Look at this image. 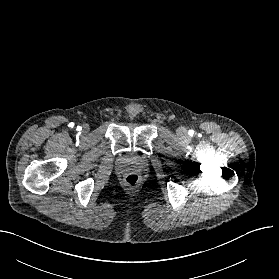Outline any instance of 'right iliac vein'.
I'll use <instances>...</instances> for the list:
<instances>
[{"instance_id":"obj_1","label":"right iliac vein","mask_w":279,"mask_h":279,"mask_svg":"<svg viewBox=\"0 0 279 279\" xmlns=\"http://www.w3.org/2000/svg\"><path fill=\"white\" fill-rule=\"evenodd\" d=\"M88 130H89V127H88L87 125H85V126L83 127V131L87 132Z\"/></svg>"}]
</instances>
